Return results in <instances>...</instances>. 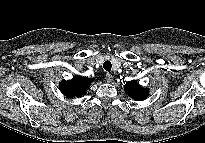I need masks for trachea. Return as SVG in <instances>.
<instances>
[{
  "mask_svg": "<svg viewBox=\"0 0 205 143\" xmlns=\"http://www.w3.org/2000/svg\"><path fill=\"white\" fill-rule=\"evenodd\" d=\"M111 67H112V64L110 61H105L104 64H103V68L106 70V71H111Z\"/></svg>",
  "mask_w": 205,
  "mask_h": 143,
  "instance_id": "1",
  "label": "trachea"
}]
</instances>
